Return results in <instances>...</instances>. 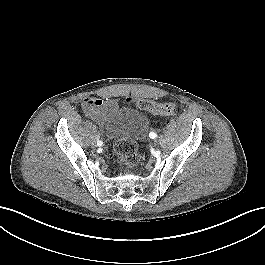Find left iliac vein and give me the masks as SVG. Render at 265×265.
<instances>
[{
	"label": "left iliac vein",
	"instance_id": "left-iliac-vein-1",
	"mask_svg": "<svg viewBox=\"0 0 265 265\" xmlns=\"http://www.w3.org/2000/svg\"><path fill=\"white\" fill-rule=\"evenodd\" d=\"M164 139L162 137H160L159 139V144L163 147L164 146Z\"/></svg>",
	"mask_w": 265,
	"mask_h": 265
}]
</instances>
